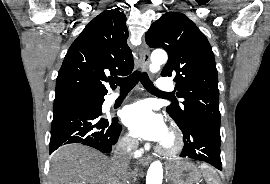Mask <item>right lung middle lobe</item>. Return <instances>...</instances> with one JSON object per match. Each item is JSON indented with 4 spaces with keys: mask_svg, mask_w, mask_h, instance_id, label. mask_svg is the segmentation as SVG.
Listing matches in <instances>:
<instances>
[{
    "mask_svg": "<svg viewBox=\"0 0 270 184\" xmlns=\"http://www.w3.org/2000/svg\"><path fill=\"white\" fill-rule=\"evenodd\" d=\"M82 96H66V97H60V98H55L54 102H57V101H62V100H69V99H77V98H80ZM99 99H95L96 102H98ZM100 112H101V109H100Z\"/></svg>",
    "mask_w": 270,
    "mask_h": 184,
    "instance_id": "1",
    "label": "right lung middle lobe"
}]
</instances>
